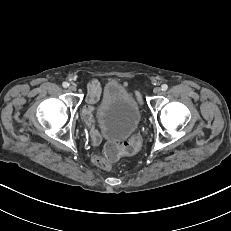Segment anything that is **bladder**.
<instances>
[{
    "label": "bladder",
    "mask_w": 231,
    "mask_h": 231,
    "mask_svg": "<svg viewBox=\"0 0 231 231\" xmlns=\"http://www.w3.org/2000/svg\"><path fill=\"white\" fill-rule=\"evenodd\" d=\"M96 118L106 138L123 140L139 126L141 109L126 88L119 81L111 79L103 87Z\"/></svg>",
    "instance_id": "31cf9c89"
}]
</instances>
